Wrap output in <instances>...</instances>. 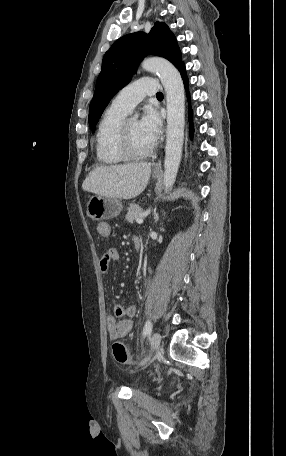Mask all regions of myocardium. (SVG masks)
Returning a JSON list of instances; mask_svg holds the SVG:
<instances>
[{
  "instance_id": "1",
  "label": "myocardium",
  "mask_w": 286,
  "mask_h": 456,
  "mask_svg": "<svg viewBox=\"0 0 286 456\" xmlns=\"http://www.w3.org/2000/svg\"><path fill=\"white\" fill-rule=\"evenodd\" d=\"M119 149L123 157L127 160H142L150 156L154 149L155 143L151 147L142 153H135L131 148L128 121H123L119 130Z\"/></svg>"
}]
</instances>
